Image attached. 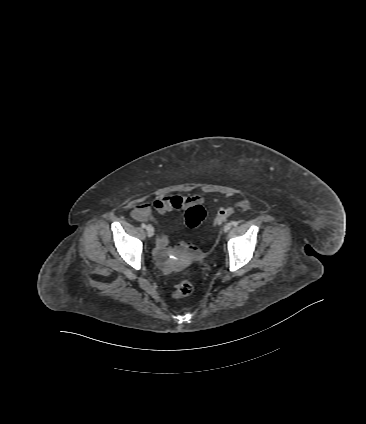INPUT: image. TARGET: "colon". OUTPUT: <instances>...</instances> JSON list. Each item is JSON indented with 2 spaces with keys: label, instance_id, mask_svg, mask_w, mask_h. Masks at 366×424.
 <instances>
[{
  "label": "colon",
  "instance_id": "1",
  "mask_svg": "<svg viewBox=\"0 0 366 424\" xmlns=\"http://www.w3.org/2000/svg\"><path fill=\"white\" fill-rule=\"evenodd\" d=\"M234 212V209L232 207H225L221 208L215 218H214V225H219L223 223L225 220L228 219L229 216H231ZM206 216V210L205 208L200 205L196 204L191 207H189L185 212V221L188 227L194 228L197 227L202 223V221L205 219ZM189 253L196 257L199 255V251L196 247L191 246L189 248ZM193 292V286L190 282L187 280H182L173 288V296L176 298H182L190 295Z\"/></svg>",
  "mask_w": 366,
  "mask_h": 424
}]
</instances>
